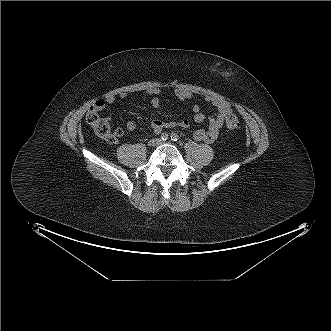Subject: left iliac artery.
Segmentation results:
<instances>
[{"label":"left iliac artery","instance_id":"1","mask_svg":"<svg viewBox=\"0 0 331 331\" xmlns=\"http://www.w3.org/2000/svg\"><path fill=\"white\" fill-rule=\"evenodd\" d=\"M178 139H179V136L176 133L171 134V140L172 141H178Z\"/></svg>","mask_w":331,"mask_h":331}]
</instances>
